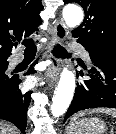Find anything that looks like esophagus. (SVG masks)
<instances>
[{
  "mask_svg": "<svg viewBox=\"0 0 116 134\" xmlns=\"http://www.w3.org/2000/svg\"><path fill=\"white\" fill-rule=\"evenodd\" d=\"M66 36L67 29L64 23L62 21L55 22L53 44L49 46V49L51 50L56 42L64 41L66 39ZM50 58L51 64L47 71L49 86L53 85L57 81L62 66V62L59 59H57L51 52Z\"/></svg>",
  "mask_w": 116,
  "mask_h": 134,
  "instance_id": "esophagus-1",
  "label": "esophagus"
}]
</instances>
